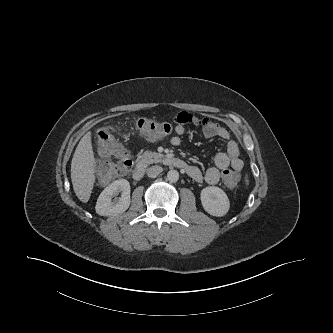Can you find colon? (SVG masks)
Returning <instances> with one entry per match:
<instances>
[{"instance_id": "5ec220e1", "label": "colon", "mask_w": 333, "mask_h": 333, "mask_svg": "<svg viewBox=\"0 0 333 333\" xmlns=\"http://www.w3.org/2000/svg\"><path fill=\"white\" fill-rule=\"evenodd\" d=\"M134 126L138 133L148 139H161L171 132V125L148 118H139ZM114 127H102L97 132V149L101 156L108 159L97 166V174L101 181L106 182L123 176L132 166L133 161L128 151L118 143L114 136ZM224 183L234 188L238 183V175L233 170L223 173Z\"/></svg>"}]
</instances>
